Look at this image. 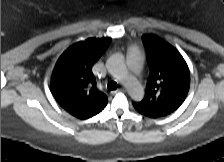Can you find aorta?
I'll return each mask as SVG.
<instances>
[{"label":"aorta","mask_w":224,"mask_h":162,"mask_svg":"<svg viewBox=\"0 0 224 162\" xmlns=\"http://www.w3.org/2000/svg\"><path fill=\"white\" fill-rule=\"evenodd\" d=\"M107 69L114 78L123 83L133 100L141 101L143 99L145 94L144 88L140 82L128 72L122 55H112L107 61Z\"/></svg>","instance_id":"aorta-1"}]
</instances>
